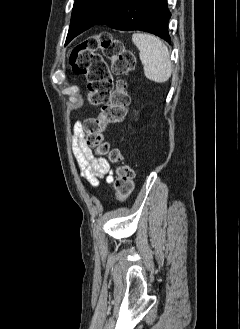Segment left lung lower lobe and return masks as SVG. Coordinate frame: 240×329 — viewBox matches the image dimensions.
Returning <instances> with one entry per match:
<instances>
[{"label": "left lung lower lobe", "instance_id": "obj_1", "mask_svg": "<svg viewBox=\"0 0 240 329\" xmlns=\"http://www.w3.org/2000/svg\"><path fill=\"white\" fill-rule=\"evenodd\" d=\"M170 17L167 0H120L96 24H105L123 31L153 33L171 43L168 33Z\"/></svg>", "mask_w": 240, "mask_h": 329}]
</instances>
